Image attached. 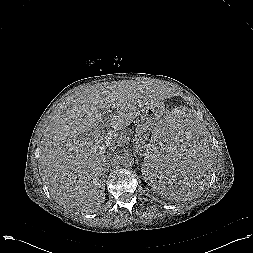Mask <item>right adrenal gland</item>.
Instances as JSON below:
<instances>
[{"label":"right adrenal gland","mask_w":253,"mask_h":253,"mask_svg":"<svg viewBox=\"0 0 253 253\" xmlns=\"http://www.w3.org/2000/svg\"><path fill=\"white\" fill-rule=\"evenodd\" d=\"M109 167H110V163H109V160H107V162H106V172H108Z\"/></svg>","instance_id":"obj_1"}]
</instances>
